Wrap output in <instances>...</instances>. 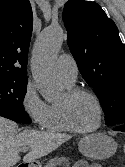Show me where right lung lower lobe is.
Segmentation results:
<instances>
[{
  "label": "right lung lower lobe",
  "mask_w": 125,
  "mask_h": 167,
  "mask_svg": "<svg viewBox=\"0 0 125 167\" xmlns=\"http://www.w3.org/2000/svg\"><path fill=\"white\" fill-rule=\"evenodd\" d=\"M0 116L11 119L15 122L31 123V119L24 110L16 109L4 103H0Z\"/></svg>",
  "instance_id": "obj_1"
}]
</instances>
